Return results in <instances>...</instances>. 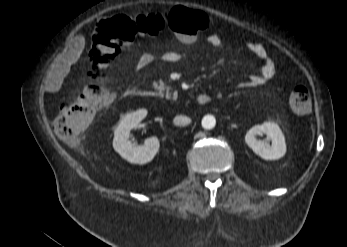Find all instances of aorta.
<instances>
[{
  "mask_svg": "<svg viewBox=\"0 0 347 247\" xmlns=\"http://www.w3.org/2000/svg\"><path fill=\"white\" fill-rule=\"evenodd\" d=\"M216 125V119L213 115H206L202 119V126L204 129L210 130Z\"/></svg>",
  "mask_w": 347,
  "mask_h": 247,
  "instance_id": "762f6f07",
  "label": "aorta"
}]
</instances>
